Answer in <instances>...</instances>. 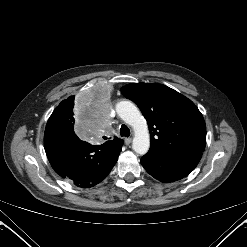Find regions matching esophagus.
Segmentation results:
<instances>
[{"label":"esophagus","mask_w":247,"mask_h":247,"mask_svg":"<svg viewBox=\"0 0 247 247\" xmlns=\"http://www.w3.org/2000/svg\"><path fill=\"white\" fill-rule=\"evenodd\" d=\"M124 142L126 145H129L132 142V138H125Z\"/></svg>","instance_id":"1"}]
</instances>
